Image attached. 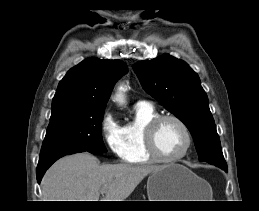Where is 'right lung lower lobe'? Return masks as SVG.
<instances>
[{
  "label": "right lung lower lobe",
  "instance_id": "obj_1",
  "mask_svg": "<svg viewBox=\"0 0 259 211\" xmlns=\"http://www.w3.org/2000/svg\"><path fill=\"white\" fill-rule=\"evenodd\" d=\"M79 152H83L81 150H69V151H62V152H57L54 153L53 155H51L50 157H47L45 159L39 160L38 166H37V170H36V174H37V181L38 183H40L44 173L46 172V170L59 158L67 155V154H73V153H79ZM91 153H95V152H91ZM95 154H101V153H95Z\"/></svg>",
  "mask_w": 259,
  "mask_h": 211
}]
</instances>
